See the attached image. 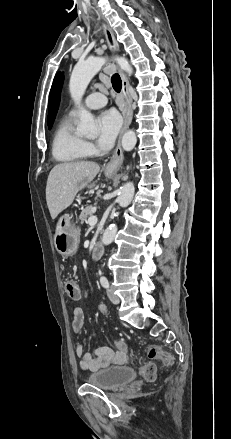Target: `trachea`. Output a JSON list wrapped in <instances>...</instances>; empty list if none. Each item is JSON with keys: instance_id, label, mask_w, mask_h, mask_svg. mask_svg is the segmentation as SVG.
I'll list each match as a JSON object with an SVG mask.
<instances>
[{"instance_id": "trachea-1", "label": "trachea", "mask_w": 231, "mask_h": 439, "mask_svg": "<svg viewBox=\"0 0 231 439\" xmlns=\"http://www.w3.org/2000/svg\"><path fill=\"white\" fill-rule=\"evenodd\" d=\"M111 82H112L113 89L117 93H119L121 91V88H122V81H121V78H120L119 74H117V73L114 74L111 77Z\"/></svg>"}]
</instances>
